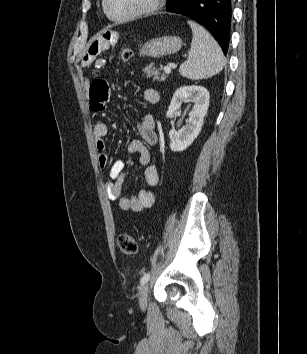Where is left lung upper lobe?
<instances>
[{"instance_id":"1","label":"left lung upper lobe","mask_w":307,"mask_h":354,"mask_svg":"<svg viewBox=\"0 0 307 354\" xmlns=\"http://www.w3.org/2000/svg\"><path fill=\"white\" fill-rule=\"evenodd\" d=\"M172 0H167L166 5H168Z\"/></svg>"}]
</instances>
